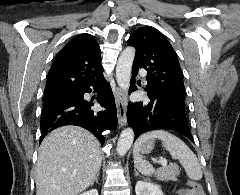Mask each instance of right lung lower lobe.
<instances>
[{"instance_id": "obj_1", "label": "right lung lower lobe", "mask_w": 240, "mask_h": 195, "mask_svg": "<svg viewBox=\"0 0 240 195\" xmlns=\"http://www.w3.org/2000/svg\"><path fill=\"white\" fill-rule=\"evenodd\" d=\"M93 88L98 92L96 101L105 110L97 111L94 103L84 100V94ZM64 125L81 126L95 135L102 142V132L116 129L117 110L114 96L109 84L103 77L101 80L81 87L77 90L57 91L45 95L41 114V141L53 129Z\"/></svg>"}]
</instances>
